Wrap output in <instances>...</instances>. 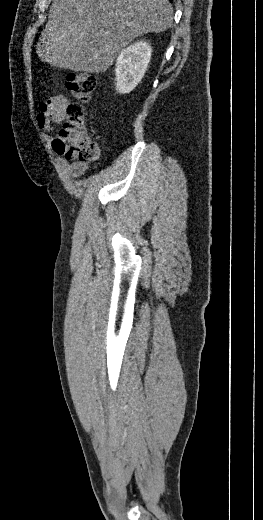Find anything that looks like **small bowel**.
I'll return each instance as SVG.
<instances>
[{"mask_svg":"<svg viewBox=\"0 0 263 520\" xmlns=\"http://www.w3.org/2000/svg\"><path fill=\"white\" fill-rule=\"evenodd\" d=\"M70 100L64 95H55L39 105V112L36 115V123L41 130L44 131L46 140L54 143L49 133L53 129L54 124L61 123L67 117V107ZM61 169L69 176L76 178L83 175L89 165L86 162L74 161L69 163L66 159L59 157L57 159Z\"/></svg>","mask_w":263,"mask_h":520,"instance_id":"obj_1","label":"small bowel"}]
</instances>
